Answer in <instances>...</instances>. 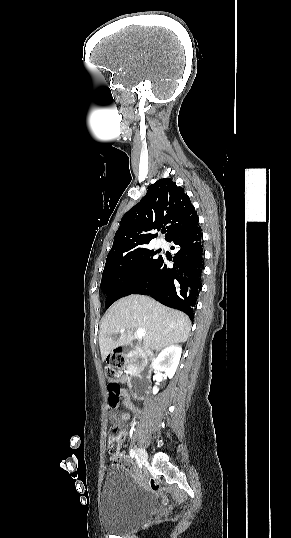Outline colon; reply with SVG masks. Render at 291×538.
I'll list each match as a JSON object with an SVG mask.
<instances>
[{"label":"colon","instance_id":"obj_1","mask_svg":"<svg viewBox=\"0 0 291 538\" xmlns=\"http://www.w3.org/2000/svg\"><path fill=\"white\" fill-rule=\"evenodd\" d=\"M136 359L138 362L143 363V356H138ZM106 362V373L110 379L108 384L109 406L111 408H116L120 402V385L114 382V379H116L119 373L125 368V357L118 352H113L108 355ZM123 439L124 437L116 425L110 427L108 432V449L112 456L118 454ZM149 484L152 490L160 491V485L157 480L151 478Z\"/></svg>","mask_w":291,"mask_h":538}]
</instances>
